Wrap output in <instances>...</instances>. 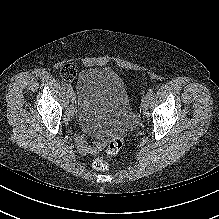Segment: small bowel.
I'll list each match as a JSON object with an SVG mask.
<instances>
[{
    "label": "small bowel",
    "mask_w": 219,
    "mask_h": 219,
    "mask_svg": "<svg viewBox=\"0 0 219 219\" xmlns=\"http://www.w3.org/2000/svg\"><path fill=\"white\" fill-rule=\"evenodd\" d=\"M79 146L83 153L94 155V154H97L103 148V143L97 142V143L88 145L83 140H80Z\"/></svg>",
    "instance_id": "1"
}]
</instances>
